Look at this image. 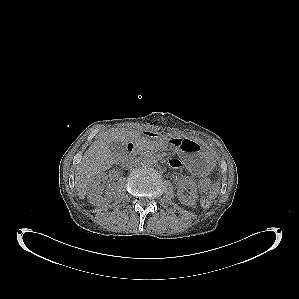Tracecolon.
Listing matches in <instances>:
<instances>
[{"label":"colon","instance_id":"obj_1","mask_svg":"<svg viewBox=\"0 0 299 299\" xmlns=\"http://www.w3.org/2000/svg\"><path fill=\"white\" fill-rule=\"evenodd\" d=\"M199 187L204 190H208L211 187V181L207 177H202L199 180ZM214 190H210L208 193L201 197L200 203L203 207H209L213 201Z\"/></svg>","mask_w":299,"mask_h":299}]
</instances>
